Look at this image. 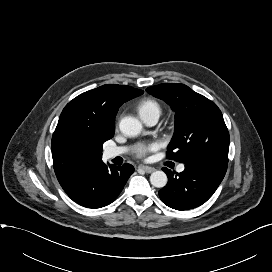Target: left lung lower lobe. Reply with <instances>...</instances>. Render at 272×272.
<instances>
[{
  "label": "left lung lower lobe",
  "instance_id": "0a47b994",
  "mask_svg": "<svg viewBox=\"0 0 272 272\" xmlns=\"http://www.w3.org/2000/svg\"><path fill=\"white\" fill-rule=\"evenodd\" d=\"M228 166L226 159H201L185 164L176 176L163 168L168 184L159 191L164 204L176 210H188L205 203L223 180Z\"/></svg>",
  "mask_w": 272,
  "mask_h": 272
}]
</instances>
